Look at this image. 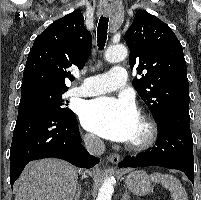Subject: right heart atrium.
<instances>
[{
  "instance_id": "obj_1",
  "label": "right heart atrium",
  "mask_w": 201,
  "mask_h": 200,
  "mask_svg": "<svg viewBox=\"0 0 201 200\" xmlns=\"http://www.w3.org/2000/svg\"><path fill=\"white\" fill-rule=\"evenodd\" d=\"M84 140L86 144L93 149H98L100 147V141L92 134H86Z\"/></svg>"
}]
</instances>
